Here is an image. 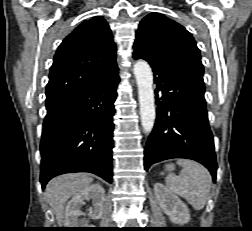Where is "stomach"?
Returning <instances> with one entry per match:
<instances>
[{
    "label": "stomach",
    "instance_id": "1",
    "mask_svg": "<svg viewBox=\"0 0 252 231\" xmlns=\"http://www.w3.org/2000/svg\"><path fill=\"white\" fill-rule=\"evenodd\" d=\"M167 170H168V171L174 170V165L169 164V165L167 166Z\"/></svg>",
    "mask_w": 252,
    "mask_h": 231
}]
</instances>
